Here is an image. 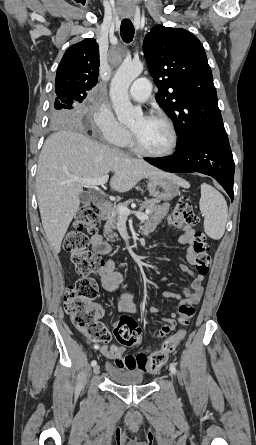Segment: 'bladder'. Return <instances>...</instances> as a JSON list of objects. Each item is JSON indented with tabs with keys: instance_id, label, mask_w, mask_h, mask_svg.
I'll list each match as a JSON object with an SVG mask.
<instances>
[{
	"instance_id": "bladder-1",
	"label": "bladder",
	"mask_w": 256,
	"mask_h": 445,
	"mask_svg": "<svg viewBox=\"0 0 256 445\" xmlns=\"http://www.w3.org/2000/svg\"><path fill=\"white\" fill-rule=\"evenodd\" d=\"M109 374L116 384L140 385L144 381L143 374L139 371H119L112 366L108 367Z\"/></svg>"
}]
</instances>
